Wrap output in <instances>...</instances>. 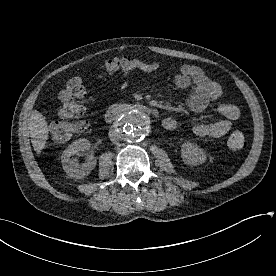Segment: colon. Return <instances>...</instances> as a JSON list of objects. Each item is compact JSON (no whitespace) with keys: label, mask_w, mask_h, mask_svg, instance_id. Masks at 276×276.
I'll return each instance as SVG.
<instances>
[{"label":"colon","mask_w":276,"mask_h":276,"mask_svg":"<svg viewBox=\"0 0 276 276\" xmlns=\"http://www.w3.org/2000/svg\"><path fill=\"white\" fill-rule=\"evenodd\" d=\"M142 70L138 60L124 56L107 60L102 71L105 74L129 73ZM86 95V89L82 80L78 77L70 79L59 93V115L64 121L51 128V136L55 141H66L73 134L81 132L87 127V122L80 120L70 122V119H79L85 113L84 106L79 102ZM246 145V139L241 131H234L227 140V146L231 151H239Z\"/></svg>","instance_id":"5ec220e1"}]
</instances>
